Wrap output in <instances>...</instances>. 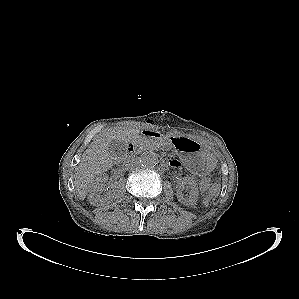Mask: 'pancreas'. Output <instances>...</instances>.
Returning <instances> with one entry per match:
<instances>
[{
  "mask_svg": "<svg viewBox=\"0 0 299 299\" xmlns=\"http://www.w3.org/2000/svg\"><path fill=\"white\" fill-rule=\"evenodd\" d=\"M138 145L142 147V149H156L158 148V144L150 139H147L145 137H141L138 139Z\"/></svg>",
  "mask_w": 299,
  "mask_h": 299,
  "instance_id": "pancreas-1",
  "label": "pancreas"
}]
</instances>
